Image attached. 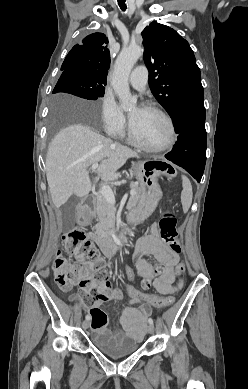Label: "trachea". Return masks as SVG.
<instances>
[{"instance_id":"obj_1","label":"trachea","mask_w":248,"mask_h":389,"mask_svg":"<svg viewBox=\"0 0 248 389\" xmlns=\"http://www.w3.org/2000/svg\"><path fill=\"white\" fill-rule=\"evenodd\" d=\"M118 4L123 11L126 10L125 0H118Z\"/></svg>"}]
</instances>
